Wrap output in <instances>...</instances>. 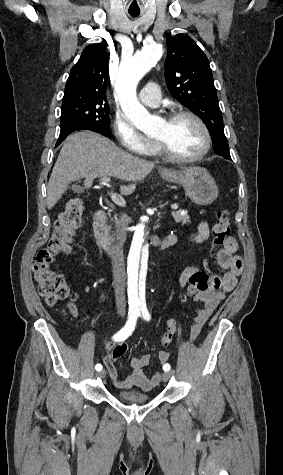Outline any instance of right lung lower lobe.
Here are the masks:
<instances>
[{"instance_id":"1","label":"right lung lower lobe","mask_w":283,"mask_h":475,"mask_svg":"<svg viewBox=\"0 0 283 475\" xmlns=\"http://www.w3.org/2000/svg\"><path fill=\"white\" fill-rule=\"evenodd\" d=\"M78 130H87V129H85L82 126H69V127L61 128L60 136L58 138V141L55 147H57L70 133L74 131H78Z\"/></svg>"}]
</instances>
